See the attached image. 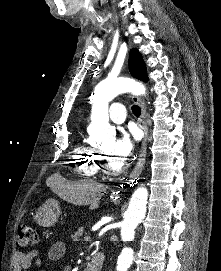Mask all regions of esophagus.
<instances>
[{"label":"esophagus","instance_id":"1","mask_svg":"<svg viewBox=\"0 0 221 271\" xmlns=\"http://www.w3.org/2000/svg\"><path fill=\"white\" fill-rule=\"evenodd\" d=\"M132 100L134 101V103H137L141 107V117L139 120V126L141 127V129L144 132L138 162H137L135 168L133 169L132 173L130 174V177L134 178V177L140 175V173L144 167V164H145L146 155H147L148 126L146 123V108H145V105H144L142 99L139 96L134 95L132 97Z\"/></svg>","mask_w":221,"mask_h":271}]
</instances>
